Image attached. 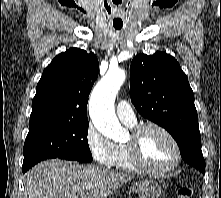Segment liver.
Wrapping results in <instances>:
<instances>
[{
	"mask_svg": "<svg viewBox=\"0 0 221 198\" xmlns=\"http://www.w3.org/2000/svg\"><path fill=\"white\" fill-rule=\"evenodd\" d=\"M131 179L102 167L50 159L25 174L24 198H106Z\"/></svg>",
	"mask_w": 221,
	"mask_h": 198,
	"instance_id": "liver-1",
	"label": "liver"
}]
</instances>
